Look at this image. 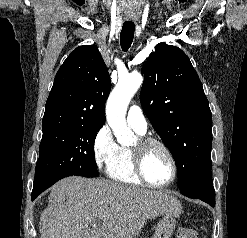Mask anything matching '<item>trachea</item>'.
<instances>
[{
    "label": "trachea",
    "instance_id": "obj_1",
    "mask_svg": "<svg viewBox=\"0 0 247 238\" xmlns=\"http://www.w3.org/2000/svg\"><path fill=\"white\" fill-rule=\"evenodd\" d=\"M134 31H135V25L133 22L131 21L124 22L120 34L121 48L123 51H127L130 48L133 42Z\"/></svg>",
    "mask_w": 247,
    "mask_h": 238
}]
</instances>
